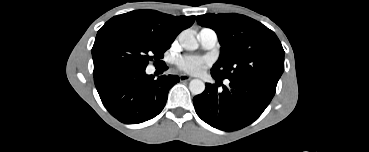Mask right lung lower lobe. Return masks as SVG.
<instances>
[{
  "label": "right lung lower lobe",
  "mask_w": 369,
  "mask_h": 152,
  "mask_svg": "<svg viewBox=\"0 0 369 152\" xmlns=\"http://www.w3.org/2000/svg\"><path fill=\"white\" fill-rule=\"evenodd\" d=\"M167 66L164 64L163 70ZM106 109L119 121L137 124L157 116L164 108L170 88L178 76L147 75L145 68L120 66L94 76Z\"/></svg>",
  "instance_id": "1"
}]
</instances>
